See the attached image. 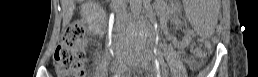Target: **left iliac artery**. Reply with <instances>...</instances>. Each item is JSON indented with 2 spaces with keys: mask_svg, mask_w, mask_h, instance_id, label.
Wrapping results in <instances>:
<instances>
[{
  "mask_svg": "<svg viewBox=\"0 0 258 77\" xmlns=\"http://www.w3.org/2000/svg\"><path fill=\"white\" fill-rule=\"evenodd\" d=\"M154 53H155V55H156V56H158V55H159V51L154 50ZM146 56H147V57H150V54L148 53V54H146ZM158 60H160V58H159V57H158Z\"/></svg>",
  "mask_w": 258,
  "mask_h": 77,
  "instance_id": "1",
  "label": "left iliac artery"
}]
</instances>
